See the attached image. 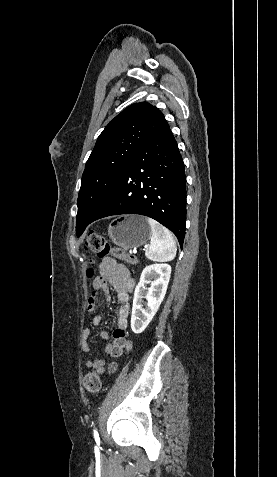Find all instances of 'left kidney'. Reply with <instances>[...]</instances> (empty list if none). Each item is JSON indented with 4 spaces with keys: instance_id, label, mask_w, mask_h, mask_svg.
I'll return each mask as SVG.
<instances>
[{
    "instance_id": "5707ae66",
    "label": "left kidney",
    "mask_w": 277,
    "mask_h": 477,
    "mask_svg": "<svg viewBox=\"0 0 277 477\" xmlns=\"http://www.w3.org/2000/svg\"><path fill=\"white\" fill-rule=\"evenodd\" d=\"M170 275L169 264H152L142 271L135 288L131 315V329L135 334L142 333L157 313L165 297ZM147 284L151 287L147 288ZM142 298L147 300L145 308H142Z\"/></svg>"
}]
</instances>
